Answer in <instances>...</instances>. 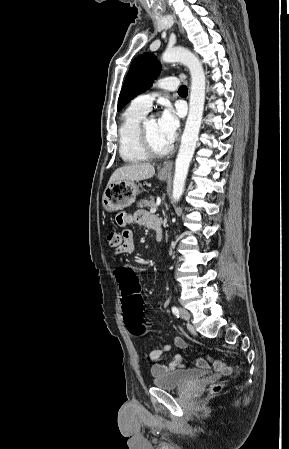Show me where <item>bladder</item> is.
Listing matches in <instances>:
<instances>
[{"mask_svg":"<svg viewBox=\"0 0 289 449\" xmlns=\"http://www.w3.org/2000/svg\"><path fill=\"white\" fill-rule=\"evenodd\" d=\"M207 371L202 369H176L153 378V385L160 389L173 390L185 387L202 377Z\"/></svg>","mask_w":289,"mask_h":449,"instance_id":"obj_1","label":"bladder"}]
</instances>
